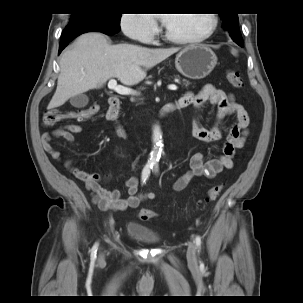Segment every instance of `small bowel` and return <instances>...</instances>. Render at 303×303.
Wrapping results in <instances>:
<instances>
[{"label":"small bowel","instance_id":"small-bowel-1","mask_svg":"<svg viewBox=\"0 0 303 303\" xmlns=\"http://www.w3.org/2000/svg\"><path fill=\"white\" fill-rule=\"evenodd\" d=\"M177 102L182 107L192 104L195 114L192 121V134L195 138L205 143H214L222 139V126L224 120L234 115L236 117L226 134L222 153L216 158L207 160L204 153H194L189 161V169L181 175L173 184L175 191H181L187 187L194 177L206 176L214 178L223 170H230L234 167V158L237 149H240L248 134L249 119L245 108L236 102L231 94L207 84L198 93L187 92ZM209 103L215 107V121L211 128L202 125V113L205 105ZM81 126L66 124L62 127L42 133V145L46 153L60 162L63 168L71 175L80 180L89 190L94 201L101 210L125 211L129 208L138 207L143 201L153 200L155 194L146 192L140 194L139 179L130 177L124 183L126 197L121 196L118 189L108 190L102 187L110 179V175L102 176L98 172H89L75 166L74 161L66 156L65 152L57 150L52 140L62 138L68 144L73 142V134L82 132Z\"/></svg>","mask_w":303,"mask_h":303}]
</instances>
